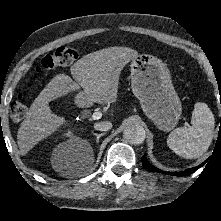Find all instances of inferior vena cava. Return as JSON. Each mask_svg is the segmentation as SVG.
<instances>
[{"mask_svg":"<svg viewBox=\"0 0 221 221\" xmlns=\"http://www.w3.org/2000/svg\"><path fill=\"white\" fill-rule=\"evenodd\" d=\"M95 130L108 131L112 128V123L109 121L98 122L94 124Z\"/></svg>","mask_w":221,"mask_h":221,"instance_id":"obj_1","label":"inferior vena cava"}]
</instances>
